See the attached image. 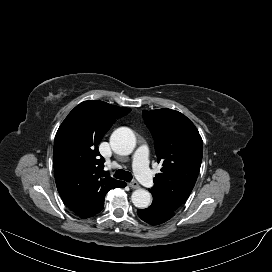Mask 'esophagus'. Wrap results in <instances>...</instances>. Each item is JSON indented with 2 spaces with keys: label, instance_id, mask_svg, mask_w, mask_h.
<instances>
[{
  "label": "esophagus",
  "instance_id": "1",
  "mask_svg": "<svg viewBox=\"0 0 272 272\" xmlns=\"http://www.w3.org/2000/svg\"><path fill=\"white\" fill-rule=\"evenodd\" d=\"M129 186H130L132 189H137V188H139V184H138V182H136V181L130 182V183H129Z\"/></svg>",
  "mask_w": 272,
  "mask_h": 272
}]
</instances>
